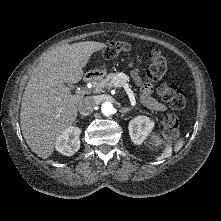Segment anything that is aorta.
<instances>
[{
  "label": "aorta",
  "instance_id": "762f6f07",
  "mask_svg": "<svg viewBox=\"0 0 221 221\" xmlns=\"http://www.w3.org/2000/svg\"><path fill=\"white\" fill-rule=\"evenodd\" d=\"M113 110V105L110 102H104L101 106V111L106 116L111 115Z\"/></svg>",
  "mask_w": 221,
  "mask_h": 221
}]
</instances>
